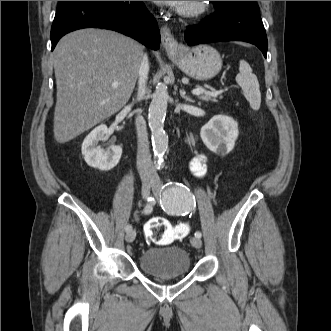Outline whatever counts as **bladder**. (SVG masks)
I'll list each match as a JSON object with an SVG mask.
<instances>
[{
	"mask_svg": "<svg viewBox=\"0 0 331 331\" xmlns=\"http://www.w3.org/2000/svg\"><path fill=\"white\" fill-rule=\"evenodd\" d=\"M138 261L140 269L153 278H180L191 269L189 254L176 244L145 249Z\"/></svg>",
	"mask_w": 331,
	"mask_h": 331,
	"instance_id": "31cf9c89",
	"label": "bladder"
}]
</instances>
